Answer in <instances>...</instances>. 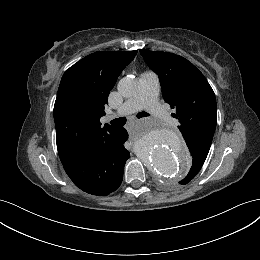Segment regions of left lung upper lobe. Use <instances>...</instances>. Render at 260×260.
<instances>
[{
	"instance_id": "left-lung-upper-lobe-1",
	"label": "left lung upper lobe",
	"mask_w": 260,
	"mask_h": 260,
	"mask_svg": "<svg viewBox=\"0 0 260 260\" xmlns=\"http://www.w3.org/2000/svg\"><path fill=\"white\" fill-rule=\"evenodd\" d=\"M148 66L160 79L164 100L176 109L173 117L189 151L208 155L217 114L216 98L204 75L187 59L168 52L140 50Z\"/></svg>"
}]
</instances>
